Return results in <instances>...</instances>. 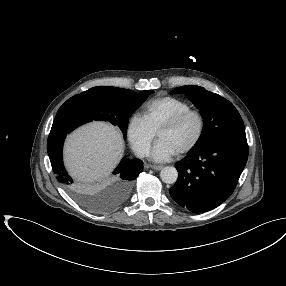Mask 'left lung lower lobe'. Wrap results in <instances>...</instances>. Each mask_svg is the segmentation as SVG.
Masks as SVG:
<instances>
[{"mask_svg": "<svg viewBox=\"0 0 286 286\" xmlns=\"http://www.w3.org/2000/svg\"><path fill=\"white\" fill-rule=\"evenodd\" d=\"M248 158L247 141L218 140L176 163L178 179L170 196L194 213L212 210L233 193Z\"/></svg>", "mask_w": 286, "mask_h": 286, "instance_id": "left-lung-lower-lobe-1", "label": "left lung lower lobe"}]
</instances>
